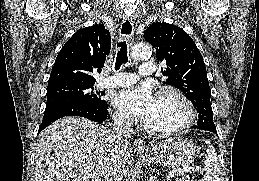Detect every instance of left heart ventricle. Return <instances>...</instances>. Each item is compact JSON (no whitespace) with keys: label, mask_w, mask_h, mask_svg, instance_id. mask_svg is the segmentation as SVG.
Masks as SVG:
<instances>
[{"label":"left heart ventricle","mask_w":259,"mask_h":181,"mask_svg":"<svg viewBox=\"0 0 259 181\" xmlns=\"http://www.w3.org/2000/svg\"><path fill=\"white\" fill-rule=\"evenodd\" d=\"M184 117V109L175 98H156L155 109L146 123L152 127L167 128L179 124Z\"/></svg>","instance_id":"left-heart-ventricle-1"}]
</instances>
